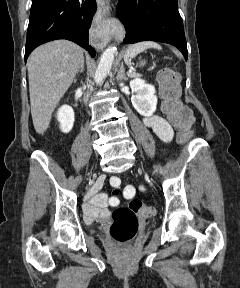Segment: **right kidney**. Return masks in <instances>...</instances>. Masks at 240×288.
Listing matches in <instances>:
<instances>
[{"label":"right kidney","instance_id":"obj_1","mask_svg":"<svg viewBox=\"0 0 240 288\" xmlns=\"http://www.w3.org/2000/svg\"><path fill=\"white\" fill-rule=\"evenodd\" d=\"M57 119L60 122V129L63 133H69L75 121L74 111L68 105H63L59 108Z\"/></svg>","mask_w":240,"mask_h":288}]
</instances>
